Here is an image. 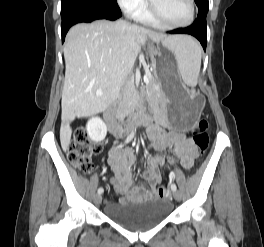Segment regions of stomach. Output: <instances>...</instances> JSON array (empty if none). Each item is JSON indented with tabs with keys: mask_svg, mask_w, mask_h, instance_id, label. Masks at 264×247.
<instances>
[{
	"mask_svg": "<svg viewBox=\"0 0 264 247\" xmlns=\"http://www.w3.org/2000/svg\"><path fill=\"white\" fill-rule=\"evenodd\" d=\"M163 45L167 48H163ZM171 43L162 41V44H155L151 47L150 53L155 70L156 79L162 86L164 94L171 98V103H179L174 108H167V113H171L172 123H175L176 131H191L198 123V118H202L201 108H203V94H187L181 86L182 79L176 63L175 53H168Z\"/></svg>",
	"mask_w": 264,
	"mask_h": 247,
	"instance_id": "obj_1",
	"label": "stomach"
}]
</instances>
